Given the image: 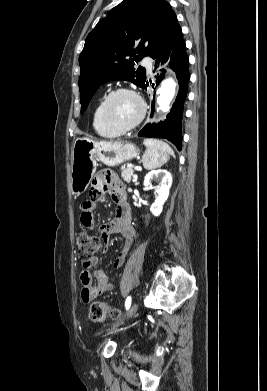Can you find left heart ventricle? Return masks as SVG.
<instances>
[{
  "label": "left heart ventricle",
  "mask_w": 267,
  "mask_h": 391,
  "mask_svg": "<svg viewBox=\"0 0 267 391\" xmlns=\"http://www.w3.org/2000/svg\"><path fill=\"white\" fill-rule=\"evenodd\" d=\"M139 111L138 101L128 93L115 95L108 104L110 119L120 126H127L134 122Z\"/></svg>",
  "instance_id": "b2bd125f"
}]
</instances>
